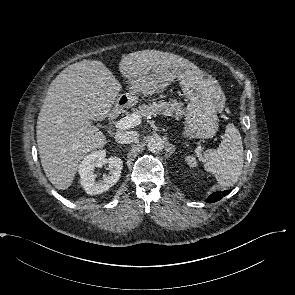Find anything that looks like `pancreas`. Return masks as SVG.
Masks as SVG:
<instances>
[{"mask_svg": "<svg viewBox=\"0 0 295 295\" xmlns=\"http://www.w3.org/2000/svg\"><path fill=\"white\" fill-rule=\"evenodd\" d=\"M134 112L144 117L162 114L174 115L176 118H181L185 114L183 103L178 102L176 99H170L168 102L161 100L149 105H142L139 107V110H134Z\"/></svg>", "mask_w": 295, "mask_h": 295, "instance_id": "1", "label": "pancreas"}]
</instances>
